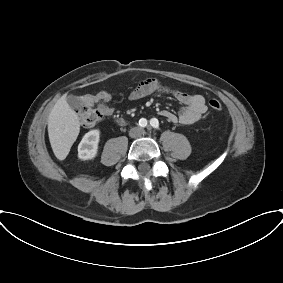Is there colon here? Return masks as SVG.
Masks as SVG:
<instances>
[{
	"instance_id": "obj_1",
	"label": "colon",
	"mask_w": 283,
	"mask_h": 283,
	"mask_svg": "<svg viewBox=\"0 0 283 283\" xmlns=\"http://www.w3.org/2000/svg\"><path fill=\"white\" fill-rule=\"evenodd\" d=\"M208 105L213 111H220L222 109L221 102L216 98L209 99ZM78 115L81 123L87 127L93 126L101 118L100 111L86 105L79 110Z\"/></svg>"
}]
</instances>
